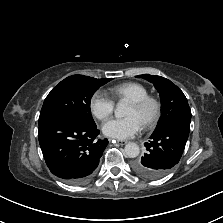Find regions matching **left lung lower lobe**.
<instances>
[{
  "label": "left lung lower lobe",
  "mask_w": 223,
  "mask_h": 223,
  "mask_svg": "<svg viewBox=\"0 0 223 223\" xmlns=\"http://www.w3.org/2000/svg\"><path fill=\"white\" fill-rule=\"evenodd\" d=\"M189 130L190 127L173 123L154 131L150 140L144 143L146 153L133 163V170L147 179H159L165 176L178 164Z\"/></svg>",
  "instance_id": "left-lung-lower-lobe-1"
}]
</instances>
